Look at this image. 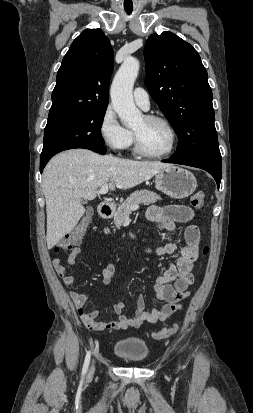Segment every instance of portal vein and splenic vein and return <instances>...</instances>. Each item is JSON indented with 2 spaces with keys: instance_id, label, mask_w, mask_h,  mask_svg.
Here are the masks:
<instances>
[{
  "instance_id": "portal-vein-and-splenic-vein-1",
  "label": "portal vein and splenic vein",
  "mask_w": 253,
  "mask_h": 413,
  "mask_svg": "<svg viewBox=\"0 0 253 413\" xmlns=\"http://www.w3.org/2000/svg\"><path fill=\"white\" fill-rule=\"evenodd\" d=\"M108 192V185L104 184L101 189L98 191L99 194H106ZM139 207L138 206H134L132 207V210H137Z\"/></svg>"
}]
</instances>
